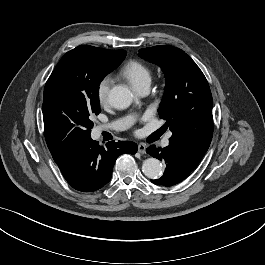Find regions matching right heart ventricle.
Listing matches in <instances>:
<instances>
[{"label":"right heart ventricle","instance_id":"right-heart-ventricle-1","mask_svg":"<svg viewBox=\"0 0 265 265\" xmlns=\"http://www.w3.org/2000/svg\"><path fill=\"white\" fill-rule=\"evenodd\" d=\"M120 74L138 91L151 84L152 73L150 68L141 61L130 60L121 69Z\"/></svg>","mask_w":265,"mask_h":265}]
</instances>
